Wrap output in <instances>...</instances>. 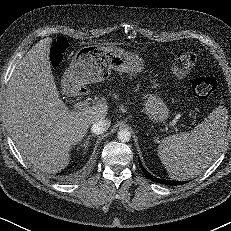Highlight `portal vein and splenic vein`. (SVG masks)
<instances>
[{
	"mask_svg": "<svg viewBox=\"0 0 231 231\" xmlns=\"http://www.w3.org/2000/svg\"><path fill=\"white\" fill-rule=\"evenodd\" d=\"M88 108H90V103H88V102H77L76 104H75V109H77V110H86V109H88ZM169 125L170 126H173L174 125V123H169Z\"/></svg>",
	"mask_w": 231,
	"mask_h": 231,
	"instance_id": "obj_1",
	"label": "portal vein and splenic vein"
}]
</instances>
